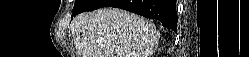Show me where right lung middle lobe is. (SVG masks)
Listing matches in <instances>:
<instances>
[{
  "label": "right lung middle lobe",
  "instance_id": "1",
  "mask_svg": "<svg viewBox=\"0 0 249 57\" xmlns=\"http://www.w3.org/2000/svg\"><path fill=\"white\" fill-rule=\"evenodd\" d=\"M91 0H76L74 5V11L82 10L89 6Z\"/></svg>",
  "mask_w": 249,
  "mask_h": 57
}]
</instances>
